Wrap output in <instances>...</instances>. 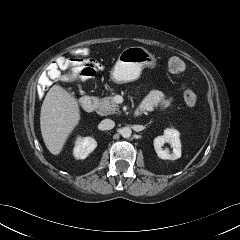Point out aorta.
Returning a JSON list of instances; mask_svg holds the SVG:
<instances>
[{
  "mask_svg": "<svg viewBox=\"0 0 240 240\" xmlns=\"http://www.w3.org/2000/svg\"><path fill=\"white\" fill-rule=\"evenodd\" d=\"M131 134H132V130L130 129V127H124L121 130V135L124 138H129L131 136Z\"/></svg>",
  "mask_w": 240,
  "mask_h": 240,
  "instance_id": "obj_1",
  "label": "aorta"
}]
</instances>
